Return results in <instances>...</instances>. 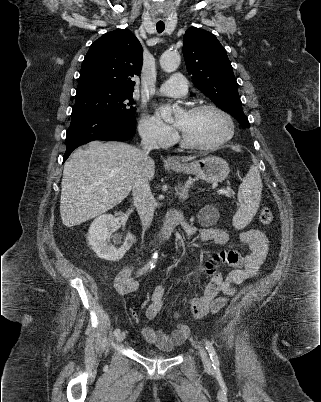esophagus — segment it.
I'll list each match as a JSON object with an SVG mask.
<instances>
[{
	"mask_svg": "<svg viewBox=\"0 0 321 402\" xmlns=\"http://www.w3.org/2000/svg\"><path fill=\"white\" fill-rule=\"evenodd\" d=\"M166 162L169 163V164H176V163H178V160L173 158V157L168 156L166 158Z\"/></svg>",
	"mask_w": 321,
	"mask_h": 402,
	"instance_id": "34e87169",
	"label": "esophagus"
}]
</instances>
